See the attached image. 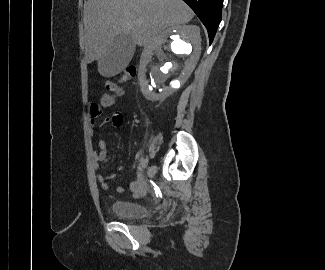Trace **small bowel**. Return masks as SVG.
<instances>
[{"label":"small bowel","mask_w":325,"mask_h":270,"mask_svg":"<svg viewBox=\"0 0 325 270\" xmlns=\"http://www.w3.org/2000/svg\"><path fill=\"white\" fill-rule=\"evenodd\" d=\"M114 103H92L90 106L91 114V126L94 128L97 125L96 119L101 116L102 110H106L107 107L112 106ZM123 122V114L120 111H115L111 116L107 117L103 121V125L118 127ZM95 166L98 167L100 163L107 161V144L104 139L98 140V150L94 153ZM122 169V166H119V170ZM115 178L114 173L108 174H99L97 179L101 185V188L105 191L110 189L109 180ZM129 189L131 193L136 197L144 196L147 192V189L143 183V179L138 175L137 180L130 182ZM116 191L118 193L124 192L123 186H117Z\"/></svg>","instance_id":"1"}]
</instances>
